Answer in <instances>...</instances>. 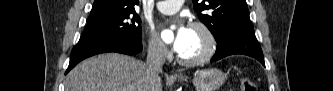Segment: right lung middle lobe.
<instances>
[{
  "label": "right lung middle lobe",
  "mask_w": 333,
  "mask_h": 91,
  "mask_svg": "<svg viewBox=\"0 0 333 91\" xmlns=\"http://www.w3.org/2000/svg\"><path fill=\"white\" fill-rule=\"evenodd\" d=\"M83 34H118L132 40H141V19L135 10L90 18Z\"/></svg>",
  "instance_id": "dd1d6c3e"
}]
</instances>
